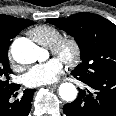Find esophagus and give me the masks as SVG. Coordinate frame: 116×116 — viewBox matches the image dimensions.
<instances>
[{"mask_svg": "<svg viewBox=\"0 0 116 116\" xmlns=\"http://www.w3.org/2000/svg\"><path fill=\"white\" fill-rule=\"evenodd\" d=\"M59 85V83H55V84H51V85H48L49 88H55Z\"/></svg>", "mask_w": 116, "mask_h": 116, "instance_id": "obj_1", "label": "esophagus"}]
</instances>
